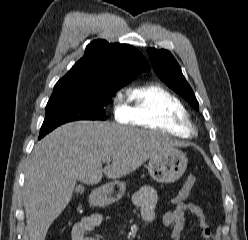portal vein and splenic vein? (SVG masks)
Returning a JSON list of instances; mask_svg holds the SVG:
<instances>
[{
  "instance_id": "1",
  "label": "portal vein and splenic vein",
  "mask_w": 248,
  "mask_h": 240,
  "mask_svg": "<svg viewBox=\"0 0 248 240\" xmlns=\"http://www.w3.org/2000/svg\"><path fill=\"white\" fill-rule=\"evenodd\" d=\"M105 162H108L109 163L110 162V159H105Z\"/></svg>"
}]
</instances>
